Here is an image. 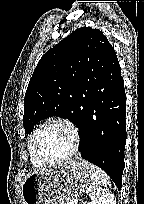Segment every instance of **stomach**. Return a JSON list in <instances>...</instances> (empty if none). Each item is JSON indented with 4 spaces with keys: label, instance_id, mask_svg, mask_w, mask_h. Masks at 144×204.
I'll use <instances>...</instances> for the list:
<instances>
[{
    "label": "stomach",
    "instance_id": "0dacf381",
    "mask_svg": "<svg viewBox=\"0 0 144 204\" xmlns=\"http://www.w3.org/2000/svg\"><path fill=\"white\" fill-rule=\"evenodd\" d=\"M87 161L76 159L30 174L22 183L23 204H68L91 184Z\"/></svg>",
    "mask_w": 144,
    "mask_h": 204
}]
</instances>
